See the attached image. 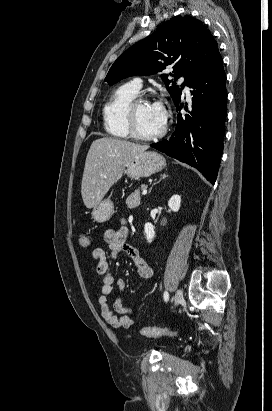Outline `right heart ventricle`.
I'll use <instances>...</instances> for the list:
<instances>
[{
  "mask_svg": "<svg viewBox=\"0 0 272 411\" xmlns=\"http://www.w3.org/2000/svg\"><path fill=\"white\" fill-rule=\"evenodd\" d=\"M131 84L119 86L103 107V121L107 133L117 138H128L129 132L126 125V108L138 95Z\"/></svg>",
  "mask_w": 272,
  "mask_h": 411,
  "instance_id": "1",
  "label": "right heart ventricle"
}]
</instances>
